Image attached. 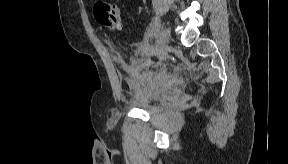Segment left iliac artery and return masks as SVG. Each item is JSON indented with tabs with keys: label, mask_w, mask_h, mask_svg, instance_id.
Returning <instances> with one entry per match:
<instances>
[{
	"label": "left iliac artery",
	"mask_w": 288,
	"mask_h": 164,
	"mask_svg": "<svg viewBox=\"0 0 288 164\" xmlns=\"http://www.w3.org/2000/svg\"><path fill=\"white\" fill-rule=\"evenodd\" d=\"M158 20V18H156ZM158 27H159V22H157L156 27L153 29L152 31V36H153V44L150 46V50L153 49V47L156 45L157 43V32H158Z\"/></svg>",
	"instance_id": "obj_1"
}]
</instances>
